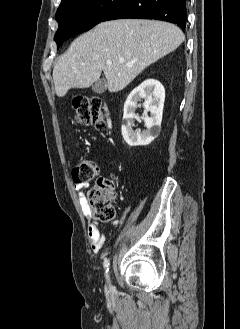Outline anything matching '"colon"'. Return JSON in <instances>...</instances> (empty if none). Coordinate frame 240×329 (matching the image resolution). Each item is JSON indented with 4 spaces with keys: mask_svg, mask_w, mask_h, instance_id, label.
<instances>
[{
    "mask_svg": "<svg viewBox=\"0 0 240 329\" xmlns=\"http://www.w3.org/2000/svg\"><path fill=\"white\" fill-rule=\"evenodd\" d=\"M73 106L76 110V122L81 126L94 125L103 129L104 115L99 97H78ZM72 178L77 184H86L95 180V185L88 190L86 202L93 217L102 223L114 220L116 216L114 202L115 179L98 177L96 161L90 157H81L72 170Z\"/></svg>",
    "mask_w": 240,
    "mask_h": 329,
    "instance_id": "colon-1",
    "label": "colon"
}]
</instances>
